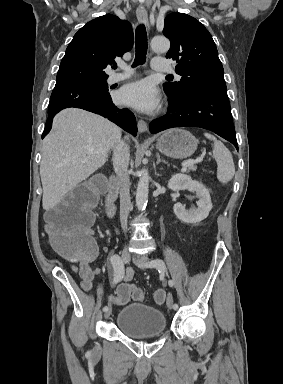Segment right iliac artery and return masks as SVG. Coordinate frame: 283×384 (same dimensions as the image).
Listing matches in <instances>:
<instances>
[{
    "instance_id": "82829eb1",
    "label": "right iliac artery",
    "mask_w": 283,
    "mask_h": 384,
    "mask_svg": "<svg viewBox=\"0 0 283 384\" xmlns=\"http://www.w3.org/2000/svg\"><path fill=\"white\" fill-rule=\"evenodd\" d=\"M111 263L114 269V279L113 284H117L124 276V264L118 255H113L111 257ZM108 310V306L103 307V311ZM87 355L90 356V352H87Z\"/></svg>"
}]
</instances>
